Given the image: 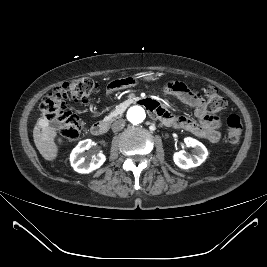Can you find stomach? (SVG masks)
<instances>
[{
	"label": "stomach",
	"instance_id": "0dacf381",
	"mask_svg": "<svg viewBox=\"0 0 267 267\" xmlns=\"http://www.w3.org/2000/svg\"><path fill=\"white\" fill-rule=\"evenodd\" d=\"M158 75L152 72H142L138 75V78H141L144 81L153 82L158 79Z\"/></svg>",
	"mask_w": 267,
	"mask_h": 267
}]
</instances>
